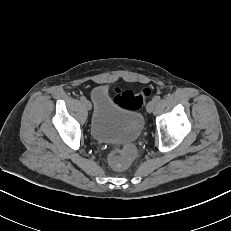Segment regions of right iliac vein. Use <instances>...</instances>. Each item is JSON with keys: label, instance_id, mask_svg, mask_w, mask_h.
<instances>
[{"label": "right iliac vein", "instance_id": "1", "mask_svg": "<svg viewBox=\"0 0 231 231\" xmlns=\"http://www.w3.org/2000/svg\"><path fill=\"white\" fill-rule=\"evenodd\" d=\"M84 105H85V107H86L88 110H91V109H92V104H91L90 101L85 100V101H84Z\"/></svg>", "mask_w": 231, "mask_h": 231}]
</instances>
